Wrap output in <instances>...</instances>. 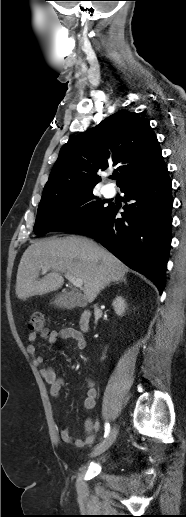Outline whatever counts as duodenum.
Segmentation results:
<instances>
[{"instance_id":"410a0bca","label":"duodenum","mask_w":186,"mask_h":517,"mask_svg":"<svg viewBox=\"0 0 186 517\" xmlns=\"http://www.w3.org/2000/svg\"><path fill=\"white\" fill-rule=\"evenodd\" d=\"M90 320H91V312L89 310H85L79 319V326L82 331L86 332L89 330Z\"/></svg>"}]
</instances>
